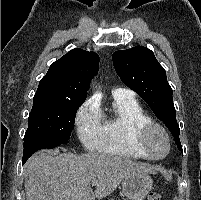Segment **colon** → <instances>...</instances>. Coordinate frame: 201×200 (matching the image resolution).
I'll return each instance as SVG.
<instances>
[{"instance_id":"1","label":"colon","mask_w":201,"mask_h":200,"mask_svg":"<svg viewBox=\"0 0 201 200\" xmlns=\"http://www.w3.org/2000/svg\"><path fill=\"white\" fill-rule=\"evenodd\" d=\"M148 200H162V197L159 193L157 192H152L149 197Z\"/></svg>"}]
</instances>
